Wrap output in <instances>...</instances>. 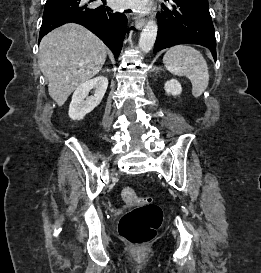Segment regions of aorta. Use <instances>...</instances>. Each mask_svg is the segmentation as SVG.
Listing matches in <instances>:
<instances>
[{
	"instance_id": "1",
	"label": "aorta",
	"mask_w": 261,
	"mask_h": 273,
	"mask_svg": "<svg viewBox=\"0 0 261 273\" xmlns=\"http://www.w3.org/2000/svg\"><path fill=\"white\" fill-rule=\"evenodd\" d=\"M157 31L158 27L156 21L150 20L140 35L138 45L142 52L148 53L153 48L157 36Z\"/></svg>"
}]
</instances>
